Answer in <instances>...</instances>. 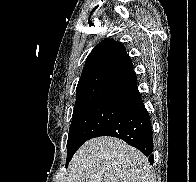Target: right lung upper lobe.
I'll use <instances>...</instances> for the list:
<instances>
[{
	"label": "right lung upper lobe",
	"instance_id": "right-lung-upper-lobe-1",
	"mask_svg": "<svg viewBox=\"0 0 196 182\" xmlns=\"http://www.w3.org/2000/svg\"><path fill=\"white\" fill-rule=\"evenodd\" d=\"M141 101L137 76L122 43L100 42L89 54L76 89L74 109L96 102L136 107Z\"/></svg>",
	"mask_w": 196,
	"mask_h": 182
}]
</instances>
